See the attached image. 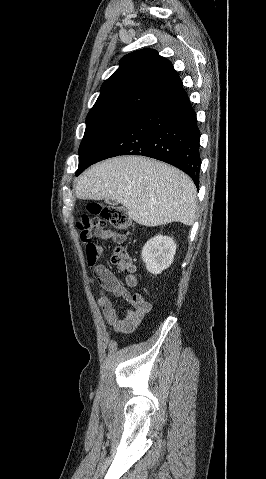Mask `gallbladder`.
Masks as SVG:
<instances>
[{"mask_svg":"<svg viewBox=\"0 0 266 479\" xmlns=\"http://www.w3.org/2000/svg\"><path fill=\"white\" fill-rule=\"evenodd\" d=\"M105 203L111 204V205H118V202L115 200H112L111 198H106Z\"/></svg>","mask_w":266,"mask_h":479,"instance_id":"bac80fb5","label":"gallbladder"}]
</instances>
